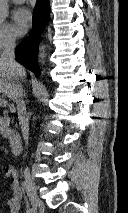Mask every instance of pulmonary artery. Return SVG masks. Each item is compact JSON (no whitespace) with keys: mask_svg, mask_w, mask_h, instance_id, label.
Listing matches in <instances>:
<instances>
[{"mask_svg":"<svg viewBox=\"0 0 128 213\" xmlns=\"http://www.w3.org/2000/svg\"><path fill=\"white\" fill-rule=\"evenodd\" d=\"M14 3L21 4L24 3L25 0H12Z\"/></svg>","mask_w":128,"mask_h":213,"instance_id":"1","label":"pulmonary artery"}]
</instances>
